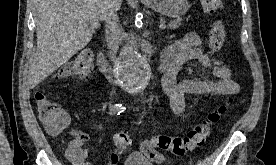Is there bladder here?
<instances>
[{
  "label": "bladder",
  "mask_w": 276,
  "mask_h": 165,
  "mask_svg": "<svg viewBox=\"0 0 276 165\" xmlns=\"http://www.w3.org/2000/svg\"><path fill=\"white\" fill-rule=\"evenodd\" d=\"M124 165H153V164L150 162V160H148L147 158H145L140 154H131L124 162Z\"/></svg>",
  "instance_id": "obj_1"
}]
</instances>
